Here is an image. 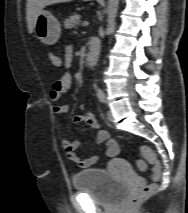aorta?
Segmentation results:
<instances>
[{
  "label": "aorta",
  "mask_w": 188,
  "mask_h": 213,
  "mask_svg": "<svg viewBox=\"0 0 188 213\" xmlns=\"http://www.w3.org/2000/svg\"><path fill=\"white\" fill-rule=\"evenodd\" d=\"M118 10V0H109L107 5V12H108V20H107V32L110 31L111 25L114 22ZM98 97H103L104 93L101 89H97Z\"/></svg>",
  "instance_id": "1"
}]
</instances>
